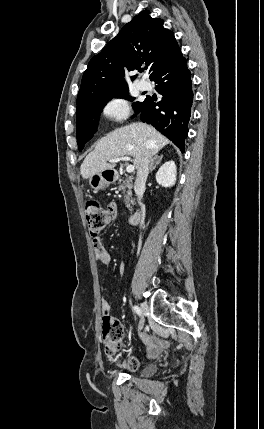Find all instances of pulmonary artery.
Instances as JSON below:
<instances>
[{
    "instance_id": "pulmonary-artery-1",
    "label": "pulmonary artery",
    "mask_w": 264,
    "mask_h": 429,
    "mask_svg": "<svg viewBox=\"0 0 264 429\" xmlns=\"http://www.w3.org/2000/svg\"><path fill=\"white\" fill-rule=\"evenodd\" d=\"M150 85L146 80H140L138 82V88L142 91L149 89Z\"/></svg>"
}]
</instances>
